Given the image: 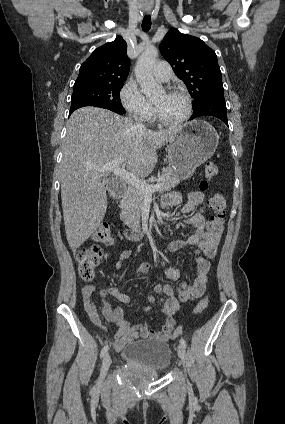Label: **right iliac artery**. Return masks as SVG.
Segmentation results:
<instances>
[{"mask_svg": "<svg viewBox=\"0 0 285 424\" xmlns=\"http://www.w3.org/2000/svg\"><path fill=\"white\" fill-rule=\"evenodd\" d=\"M107 351H108V345H106L102 348L101 353H100V357L101 358L104 357L105 354L107 353Z\"/></svg>", "mask_w": 285, "mask_h": 424, "instance_id": "right-iliac-artery-1", "label": "right iliac artery"}]
</instances>
